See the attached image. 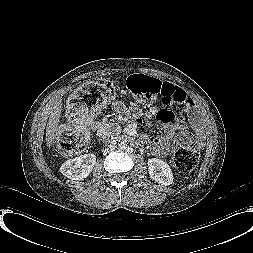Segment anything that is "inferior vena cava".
Instances as JSON below:
<instances>
[{
    "instance_id": "obj_1",
    "label": "inferior vena cava",
    "mask_w": 253,
    "mask_h": 253,
    "mask_svg": "<svg viewBox=\"0 0 253 253\" xmlns=\"http://www.w3.org/2000/svg\"><path fill=\"white\" fill-rule=\"evenodd\" d=\"M108 150H113V148H111V149H107V150L105 149V152H106V151H108Z\"/></svg>"
}]
</instances>
